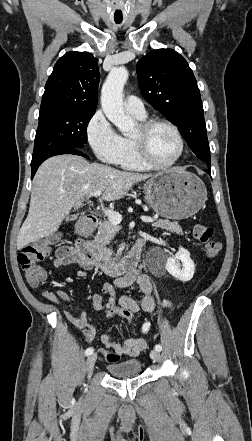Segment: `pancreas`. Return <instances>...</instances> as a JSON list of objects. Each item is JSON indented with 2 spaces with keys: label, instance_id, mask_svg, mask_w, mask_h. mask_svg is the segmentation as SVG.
<instances>
[{
  "label": "pancreas",
  "instance_id": "1",
  "mask_svg": "<svg viewBox=\"0 0 252 441\" xmlns=\"http://www.w3.org/2000/svg\"><path fill=\"white\" fill-rule=\"evenodd\" d=\"M157 228L165 229L167 231L182 234V229L178 222H170L168 220H159L153 224ZM118 227L111 224L109 220H104L99 223L98 232L94 237V247L98 251L100 257L109 258L112 255V250L107 248L111 240L115 237Z\"/></svg>",
  "mask_w": 252,
  "mask_h": 441
}]
</instances>
